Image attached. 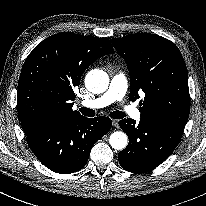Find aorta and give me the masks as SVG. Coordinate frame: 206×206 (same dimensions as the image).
I'll return each instance as SVG.
<instances>
[{"label":"aorta","instance_id":"762f6f07","mask_svg":"<svg viewBox=\"0 0 206 206\" xmlns=\"http://www.w3.org/2000/svg\"><path fill=\"white\" fill-rule=\"evenodd\" d=\"M108 85V75L102 70H91L85 77V86L92 93H102L108 88ZM109 143L112 148L123 150L128 143L127 135L122 131H116L110 135Z\"/></svg>","mask_w":206,"mask_h":206}]
</instances>
